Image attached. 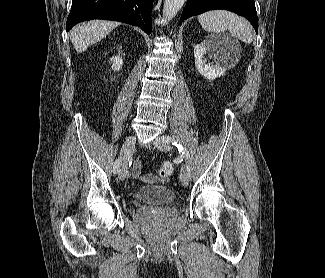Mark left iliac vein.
Wrapping results in <instances>:
<instances>
[{"label": "left iliac vein", "instance_id": "obj_1", "mask_svg": "<svg viewBox=\"0 0 325 278\" xmlns=\"http://www.w3.org/2000/svg\"><path fill=\"white\" fill-rule=\"evenodd\" d=\"M154 145L161 151H170L171 149L170 145L162 140V137H157V139L154 141ZM189 179L187 168L185 165H183L180 172V181L182 185L187 187L189 185Z\"/></svg>", "mask_w": 325, "mask_h": 278}]
</instances>
